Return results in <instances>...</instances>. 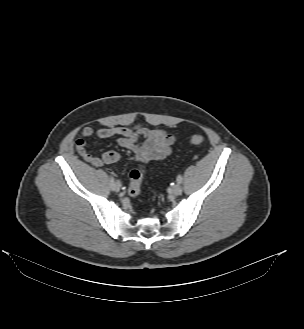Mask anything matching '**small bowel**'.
<instances>
[{
	"instance_id": "c3829d8e",
	"label": "small bowel",
	"mask_w": 304,
	"mask_h": 329,
	"mask_svg": "<svg viewBox=\"0 0 304 329\" xmlns=\"http://www.w3.org/2000/svg\"><path fill=\"white\" fill-rule=\"evenodd\" d=\"M93 134L94 130L91 127L82 129L75 143L79 155L96 167L118 162L120 154L116 151H107L101 157H94L87 152L85 139ZM95 134L101 139L117 137L118 145L131 151L135 162L142 163L165 159L176 140L173 135L162 129L142 126H110L98 129ZM139 139H143V142L140 143Z\"/></svg>"
}]
</instances>
